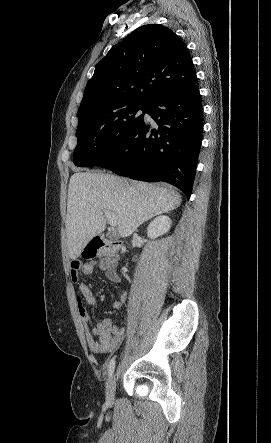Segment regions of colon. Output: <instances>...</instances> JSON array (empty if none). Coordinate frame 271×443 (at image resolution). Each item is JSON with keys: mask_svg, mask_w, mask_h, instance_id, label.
Instances as JSON below:
<instances>
[{"mask_svg": "<svg viewBox=\"0 0 271 443\" xmlns=\"http://www.w3.org/2000/svg\"><path fill=\"white\" fill-rule=\"evenodd\" d=\"M125 247L120 242L104 241L94 238L85 247L82 259H101L104 263L112 264L124 253Z\"/></svg>", "mask_w": 271, "mask_h": 443, "instance_id": "colon-1", "label": "colon"}]
</instances>
